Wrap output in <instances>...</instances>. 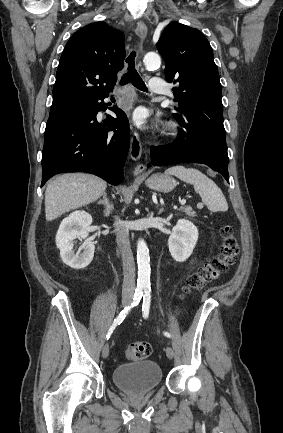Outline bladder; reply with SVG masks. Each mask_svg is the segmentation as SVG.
<instances>
[{
    "mask_svg": "<svg viewBox=\"0 0 283 433\" xmlns=\"http://www.w3.org/2000/svg\"><path fill=\"white\" fill-rule=\"evenodd\" d=\"M162 380L159 365L153 360H137L113 371V383L129 392H146L158 388Z\"/></svg>",
    "mask_w": 283,
    "mask_h": 433,
    "instance_id": "obj_1",
    "label": "bladder"
}]
</instances>
